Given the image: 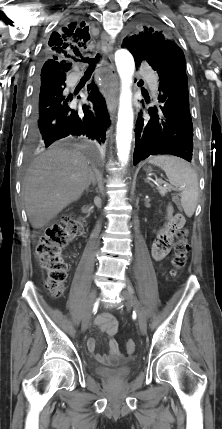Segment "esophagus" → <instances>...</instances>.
<instances>
[{"instance_id":"34e87169","label":"esophagus","mask_w":222,"mask_h":429,"mask_svg":"<svg viewBox=\"0 0 222 429\" xmlns=\"http://www.w3.org/2000/svg\"><path fill=\"white\" fill-rule=\"evenodd\" d=\"M101 41H102L104 56H105L103 60V64L106 70V78H107V84H108L106 102H107L108 112L111 118H113L117 108V103H118L119 81H118V75H117L115 66L112 61L113 44H112L111 38L107 33L103 32L101 34Z\"/></svg>"}]
</instances>
